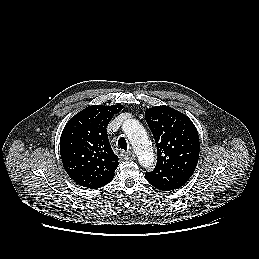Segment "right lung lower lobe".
<instances>
[{
    "label": "right lung lower lobe",
    "instance_id": "1",
    "mask_svg": "<svg viewBox=\"0 0 259 259\" xmlns=\"http://www.w3.org/2000/svg\"><path fill=\"white\" fill-rule=\"evenodd\" d=\"M109 182H110V181H109ZM109 182H108V183H109ZM106 184H107V183H106ZM106 184H104V185H106ZM104 185H103V186H104ZM101 187H102V186H101ZM99 188H100V187H99ZM96 189H97V188H96Z\"/></svg>",
    "mask_w": 259,
    "mask_h": 259
}]
</instances>
